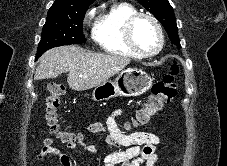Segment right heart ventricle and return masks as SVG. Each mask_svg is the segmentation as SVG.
<instances>
[{"label": "right heart ventricle", "mask_w": 227, "mask_h": 166, "mask_svg": "<svg viewBox=\"0 0 227 166\" xmlns=\"http://www.w3.org/2000/svg\"><path fill=\"white\" fill-rule=\"evenodd\" d=\"M136 13L135 7L128 2L109 6L94 23L93 37L96 44L106 53L138 58L124 38V25L127 19Z\"/></svg>", "instance_id": "obj_1"}]
</instances>
